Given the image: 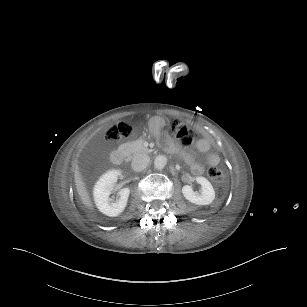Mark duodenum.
<instances>
[{
    "mask_svg": "<svg viewBox=\"0 0 307 307\" xmlns=\"http://www.w3.org/2000/svg\"><path fill=\"white\" fill-rule=\"evenodd\" d=\"M126 158V152L123 149L115 150L112 153V162L115 165H121L124 163V160Z\"/></svg>",
    "mask_w": 307,
    "mask_h": 307,
    "instance_id": "410a0bca",
    "label": "duodenum"
}]
</instances>
